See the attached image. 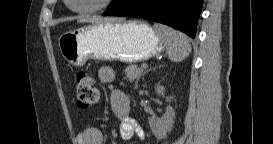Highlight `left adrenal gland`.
Masks as SVG:
<instances>
[{
  "label": "left adrenal gland",
  "instance_id": "left-adrenal-gland-1",
  "mask_svg": "<svg viewBox=\"0 0 273 144\" xmlns=\"http://www.w3.org/2000/svg\"><path fill=\"white\" fill-rule=\"evenodd\" d=\"M138 80H139V79H138ZM138 80L136 81L135 89H137V87H138Z\"/></svg>",
  "mask_w": 273,
  "mask_h": 144
}]
</instances>
